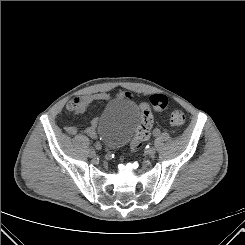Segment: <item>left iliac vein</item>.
<instances>
[{"label": "left iliac vein", "instance_id": "obj_1", "mask_svg": "<svg viewBox=\"0 0 245 245\" xmlns=\"http://www.w3.org/2000/svg\"><path fill=\"white\" fill-rule=\"evenodd\" d=\"M156 153V149L154 147H151L149 150H148V155L150 157H153Z\"/></svg>", "mask_w": 245, "mask_h": 245}]
</instances>
